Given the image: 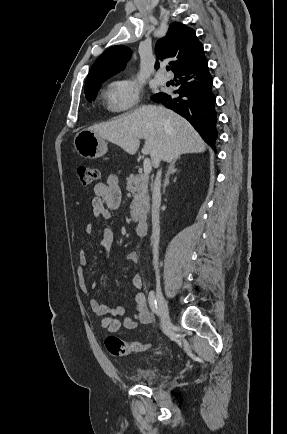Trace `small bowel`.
<instances>
[{
  "label": "small bowel",
  "instance_id": "1",
  "mask_svg": "<svg viewBox=\"0 0 287 434\" xmlns=\"http://www.w3.org/2000/svg\"><path fill=\"white\" fill-rule=\"evenodd\" d=\"M94 197L91 201V212L93 217L111 218L112 213L118 208L121 200V190L118 183V177L114 174L107 176L105 182L95 184ZM100 244L105 254H107L115 240L116 232L114 227L107 225L100 229ZM85 233L92 235L95 233V226L88 223L85 227ZM125 260L131 263H137L138 254L135 251H129L125 254ZM89 265V260L84 251L79 252L78 267L76 271L78 287L85 295L88 294V286L85 281L84 270ZM133 286L137 290L135 294L136 313L133 316L121 319L125 313L122 306H113L107 303L98 302L95 299H90L89 305L91 311L103 318L100 321V326L108 332H116L123 326L126 330L132 331L139 324H149L151 322V314L147 306L146 296L142 291L143 279L140 273H136L132 279ZM98 280H93L90 284L91 288H97Z\"/></svg>",
  "mask_w": 287,
  "mask_h": 434
}]
</instances>
